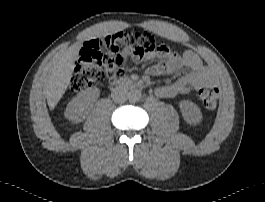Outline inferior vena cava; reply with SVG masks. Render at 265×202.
Listing matches in <instances>:
<instances>
[{
    "instance_id": "obj_1",
    "label": "inferior vena cava",
    "mask_w": 265,
    "mask_h": 202,
    "mask_svg": "<svg viewBox=\"0 0 265 202\" xmlns=\"http://www.w3.org/2000/svg\"><path fill=\"white\" fill-rule=\"evenodd\" d=\"M111 97L116 103H124L129 98V92L126 88L117 87L112 91Z\"/></svg>"
}]
</instances>
